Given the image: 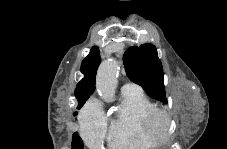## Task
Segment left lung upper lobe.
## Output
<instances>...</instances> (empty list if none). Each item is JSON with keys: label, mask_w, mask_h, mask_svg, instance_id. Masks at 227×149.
Wrapping results in <instances>:
<instances>
[{"label": "left lung upper lobe", "mask_w": 227, "mask_h": 149, "mask_svg": "<svg viewBox=\"0 0 227 149\" xmlns=\"http://www.w3.org/2000/svg\"><path fill=\"white\" fill-rule=\"evenodd\" d=\"M123 60L127 76L134 83L140 85L150 97L167 103L162 63L154 45L130 47Z\"/></svg>", "instance_id": "left-lung-upper-lobe-1"}]
</instances>
